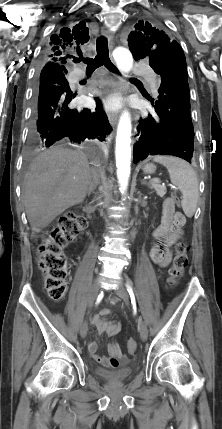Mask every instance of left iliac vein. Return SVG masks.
I'll use <instances>...</instances> for the list:
<instances>
[{
	"instance_id": "left-iliac-vein-1",
	"label": "left iliac vein",
	"mask_w": 222,
	"mask_h": 429,
	"mask_svg": "<svg viewBox=\"0 0 222 429\" xmlns=\"http://www.w3.org/2000/svg\"><path fill=\"white\" fill-rule=\"evenodd\" d=\"M116 294L121 297L126 303L129 302L130 300V296L128 291L122 287L119 286L116 290H115ZM139 333H140V337L143 341H145L147 339L148 336V329L147 326L144 322V320L142 318L139 319Z\"/></svg>"
}]
</instances>
